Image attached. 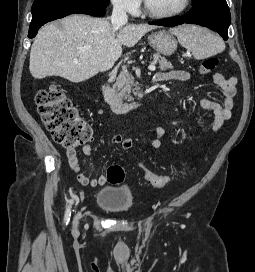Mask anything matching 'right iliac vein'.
<instances>
[{
	"instance_id": "1",
	"label": "right iliac vein",
	"mask_w": 255,
	"mask_h": 272,
	"mask_svg": "<svg viewBox=\"0 0 255 272\" xmlns=\"http://www.w3.org/2000/svg\"><path fill=\"white\" fill-rule=\"evenodd\" d=\"M77 226H78V218L75 217V219H74V227L76 228Z\"/></svg>"
}]
</instances>
